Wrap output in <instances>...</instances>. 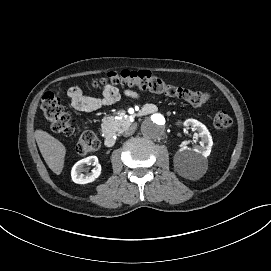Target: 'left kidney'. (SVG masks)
<instances>
[{"label": "left kidney", "instance_id": "obj_1", "mask_svg": "<svg viewBox=\"0 0 271 271\" xmlns=\"http://www.w3.org/2000/svg\"><path fill=\"white\" fill-rule=\"evenodd\" d=\"M185 123L186 126H191L199 132L201 141L199 146H195L192 149L187 148V146L184 144V146L176 153L175 161L180 168H185L187 166L192 167L193 165L198 164L200 155L202 157L209 156L213 145L210 132L204 124L195 119H188ZM188 173L190 174V172Z\"/></svg>", "mask_w": 271, "mask_h": 271}]
</instances>
